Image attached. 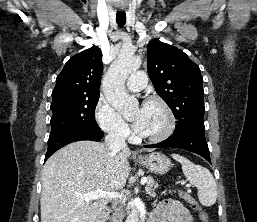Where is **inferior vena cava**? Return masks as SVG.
<instances>
[{"label":"inferior vena cava","mask_w":257,"mask_h":222,"mask_svg":"<svg viewBox=\"0 0 257 222\" xmlns=\"http://www.w3.org/2000/svg\"><path fill=\"white\" fill-rule=\"evenodd\" d=\"M126 136L118 129L111 130L105 137V143L112 153H117L121 149H124L127 144L125 142ZM114 213L112 215V222H122L123 213L120 207L114 205Z\"/></svg>","instance_id":"inferior-vena-cava-1"}]
</instances>
